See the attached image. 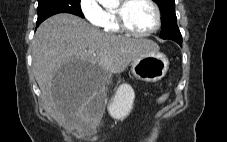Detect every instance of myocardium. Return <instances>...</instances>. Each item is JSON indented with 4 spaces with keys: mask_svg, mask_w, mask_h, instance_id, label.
<instances>
[{
    "mask_svg": "<svg viewBox=\"0 0 227 142\" xmlns=\"http://www.w3.org/2000/svg\"><path fill=\"white\" fill-rule=\"evenodd\" d=\"M133 0H120L119 5L114 9V15H115V19L117 22V25L119 26V28L123 31L126 32L132 36H136V37H148L153 35L154 33H156L162 24V13H161V9L159 7V5L157 4V2L155 0H146L154 9L155 14H156V23L155 26L147 31V32H138L133 30L126 19V9L128 7V5L132 2Z\"/></svg>",
    "mask_w": 227,
    "mask_h": 142,
    "instance_id": "obj_1",
    "label": "myocardium"
}]
</instances>
